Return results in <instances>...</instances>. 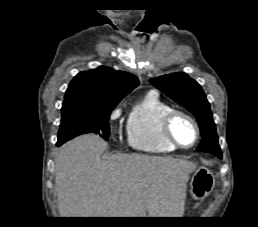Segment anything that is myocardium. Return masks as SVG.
<instances>
[{
    "label": "myocardium",
    "instance_id": "obj_1",
    "mask_svg": "<svg viewBox=\"0 0 258 227\" xmlns=\"http://www.w3.org/2000/svg\"><path fill=\"white\" fill-rule=\"evenodd\" d=\"M176 117H183V118L187 119L193 125V127L195 129V140L193 141L192 144H190L188 146L182 145L181 143H179L177 141V139L173 135L172 124ZM161 132H162L163 137L169 143H171L176 148H180V149H189V148L195 146L200 138V128H199L197 121L190 114H188L184 111H181V110H176V109H171L169 112H167L163 116V118L161 120Z\"/></svg>",
    "mask_w": 258,
    "mask_h": 227
}]
</instances>
